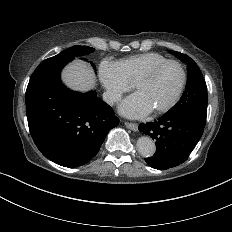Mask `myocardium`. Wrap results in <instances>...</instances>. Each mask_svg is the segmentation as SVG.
<instances>
[{
	"label": "myocardium",
	"instance_id": "myocardium-1",
	"mask_svg": "<svg viewBox=\"0 0 232 232\" xmlns=\"http://www.w3.org/2000/svg\"><path fill=\"white\" fill-rule=\"evenodd\" d=\"M169 64H175L179 67V69L182 73V82H181V85H180L178 91L176 92V94L172 98V100L164 107L153 111L156 115H161V114L169 112L173 107H175V105L180 100V98L185 90L186 84H187V71H186L185 66L178 60L167 59L163 62H160V63L154 65L148 71H146L145 73L138 76L132 84V89H136V86L139 83L150 80L152 77H154V75L160 69H162L163 67H165L166 65H169Z\"/></svg>",
	"mask_w": 232,
	"mask_h": 232
}]
</instances>
